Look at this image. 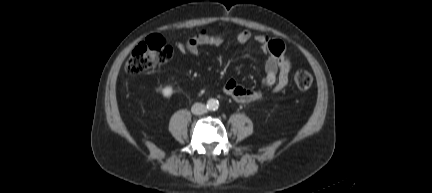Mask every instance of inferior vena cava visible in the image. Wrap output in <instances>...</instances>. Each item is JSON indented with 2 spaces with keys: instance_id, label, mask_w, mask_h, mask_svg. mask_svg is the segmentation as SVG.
Segmentation results:
<instances>
[{
  "instance_id": "1",
  "label": "inferior vena cava",
  "mask_w": 432,
  "mask_h": 193,
  "mask_svg": "<svg viewBox=\"0 0 432 193\" xmlns=\"http://www.w3.org/2000/svg\"><path fill=\"white\" fill-rule=\"evenodd\" d=\"M191 111L195 115H202L207 112V107L202 103H195L192 106Z\"/></svg>"
}]
</instances>
